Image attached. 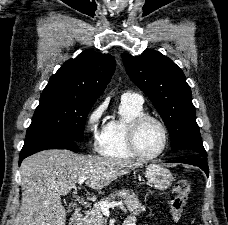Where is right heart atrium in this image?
<instances>
[{
    "instance_id": "right-heart-atrium-1",
    "label": "right heart atrium",
    "mask_w": 228,
    "mask_h": 225,
    "mask_svg": "<svg viewBox=\"0 0 228 225\" xmlns=\"http://www.w3.org/2000/svg\"><path fill=\"white\" fill-rule=\"evenodd\" d=\"M106 111V103L101 102L94 106L86 115L85 126L91 134L94 144H97L105 126H102V118Z\"/></svg>"
}]
</instances>
